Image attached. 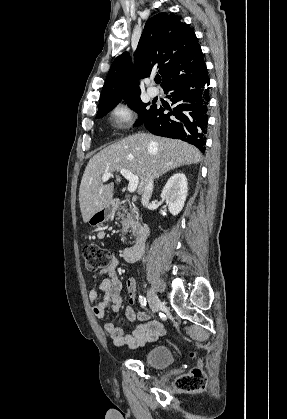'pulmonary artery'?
<instances>
[{"label": "pulmonary artery", "mask_w": 287, "mask_h": 419, "mask_svg": "<svg viewBox=\"0 0 287 419\" xmlns=\"http://www.w3.org/2000/svg\"><path fill=\"white\" fill-rule=\"evenodd\" d=\"M147 84L150 85L151 81H147ZM147 92L150 97H156L158 95V90L152 86L148 87Z\"/></svg>", "instance_id": "1"}]
</instances>
